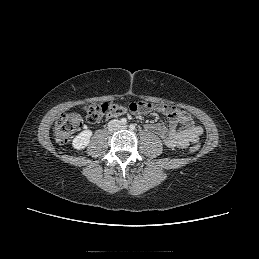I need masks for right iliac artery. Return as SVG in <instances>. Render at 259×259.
<instances>
[{"label": "right iliac artery", "mask_w": 259, "mask_h": 259, "mask_svg": "<svg viewBox=\"0 0 259 259\" xmlns=\"http://www.w3.org/2000/svg\"><path fill=\"white\" fill-rule=\"evenodd\" d=\"M120 122H121L122 124H126V123H127V119H126V118H122V119L120 120Z\"/></svg>", "instance_id": "right-iliac-artery-1"}]
</instances>
